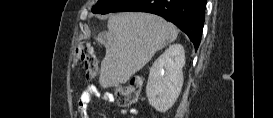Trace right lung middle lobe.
Listing matches in <instances>:
<instances>
[{"label":"right lung middle lobe","mask_w":273,"mask_h":118,"mask_svg":"<svg viewBox=\"0 0 273 118\" xmlns=\"http://www.w3.org/2000/svg\"><path fill=\"white\" fill-rule=\"evenodd\" d=\"M126 0H98L93 6L92 12L97 14H107L114 12Z\"/></svg>","instance_id":"obj_1"}]
</instances>
